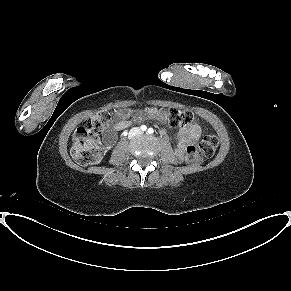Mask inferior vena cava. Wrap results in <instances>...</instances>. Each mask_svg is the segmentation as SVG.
Returning a JSON list of instances; mask_svg holds the SVG:
<instances>
[{
  "instance_id": "1",
  "label": "inferior vena cava",
  "mask_w": 291,
  "mask_h": 291,
  "mask_svg": "<svg viewBox=\"0 0 291 291\" xmlns=\"http://www.w3.org/2000/svg\"><path fill=\"white\" fill-rule=\"evenodd\" d=\"M139 134H141V130L138 127H134L130 130L128 137L132 138V137L139 135Z\"/></svg>"
}]
</instances>
